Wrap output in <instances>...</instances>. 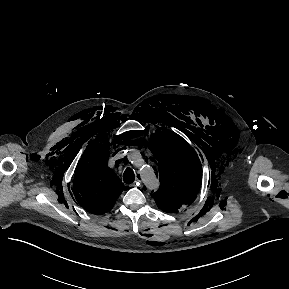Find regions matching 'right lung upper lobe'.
<instances>
[{
	"instance_id": "obj_1",
	"label": "right lung upper lobe",
	"mask_w": 289,
	"mask_h": 289,
	"mask_svg": "<svg viewBox=\"0 0 289 289\" xmlns=\"http://www.w3.org/2000/svg\"><path fill=\"white\" fill-rule=\"evenodd\" d=\"M90 143L76 167L73 192L86 211L103 214L112 209L124 184L107 166L109 143Z\"/></svg>"
}]
</instances>
